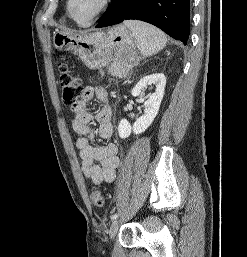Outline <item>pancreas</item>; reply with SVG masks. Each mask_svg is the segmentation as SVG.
Returning a JSON list of instances; mask_svg holds the SVG:
<instances>
[{
	"instance_id": "pancreas-1",
	"label": "pancreas",
	"mask_w": 247,
	"mask_h": 257,
	"mask_svg": "<svg viewBox=\"0 0 247 257\" xmlns=\"http://www.w3.org/2000/svg\"><path fill=\"white\" fill-rule=\"evenodd\" d=\"M128 71V68L123 67L119 63H112L108 67V73L111 74L112 76L120 77L126 74Z\"/></svg>"
}]
</instances>
